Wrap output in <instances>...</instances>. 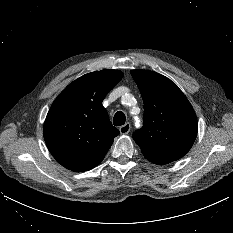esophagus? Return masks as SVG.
Listing matches in <instances>:
<instances>
[{"instance_id": "obj_1", "label": "esophagus", "mask_w": 233, "mask_h": 233, "mask_svg": "<svg viewBox=\"0 0 233 233\" xmlns=\"http://www.w3.org/2000/svg\"><path fill=\"white\" fill-rule=\"evenodd\" d=\"M130 129H131L130 123H126L119 128V131L121 134L125 135V134H128L130 132Z\"/></svg>"}]
</instances>
